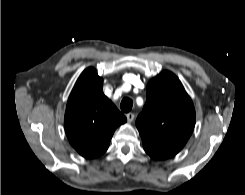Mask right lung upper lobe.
Masks as SVG:
<instances>
[{"instance_id": "obj_1", "label": "right lung upper lobe", "mask_w": 245, "mask_h": 195, "mask_svg": "<svg viewBox=\"0 0 245 195\" xmlns=\"http://www.w3.org/2000/svg\"><path fill=\"white\" fill-rule=\"evenodd\" d=\"M103 79L93 67L79 76L69 96L64 125L70 144L85 158L103 154L126 117L103 94Z\"/></svg>"}]
</instances>
